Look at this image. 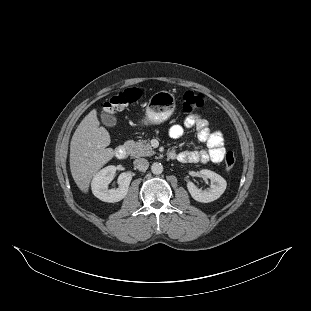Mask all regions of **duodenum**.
I'll use <instances>...</instances> for the list:
<instances>
[{"label": "duodenum", "instance_id": "obj_1", "mask_svg": "<svg viewBox=\"0 0 311 311\" xmlns=\"http://www.w3.org/2000/svg\"><path fill=\"white\" fill-rule=\"evenodd\" d=\"M127 153H128L127 148H126L124 145H119V146H117L116 149H115V156H116V158H118V159H124V158H126ZM169 157H170L171 159H174L175 154H174L173 152H170V153H169Z\"/></svg>", "mask_w": 311, "mask_h": 311}]
</instances>
